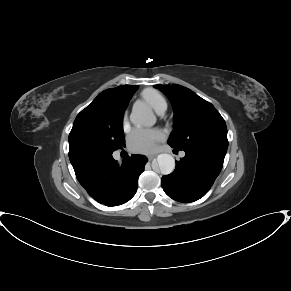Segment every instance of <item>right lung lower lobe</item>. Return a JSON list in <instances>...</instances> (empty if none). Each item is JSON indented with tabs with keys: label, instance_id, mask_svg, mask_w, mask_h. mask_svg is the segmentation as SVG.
I'll list each match as a JSON object with an SVG mask.
<instances>
[{
	"label": "right lung lower lobe",
	"instance_id": "1",
	"mask_svg": "<svg viewBox=\"0 0 291 291\" xmlns=\"http://www.w3.org/2000/svg\"><path fill=\"white\" fill-rule=\"evenodd\" d=\"M69 159L88 194L109 207L124 204L135 195L138 177L148 161L143 155H132L118 164L112 153L87 149L69 151Z\"/></svg>",
	"mask_w": 291,
	"mask_h": 291
}]
</instances>
